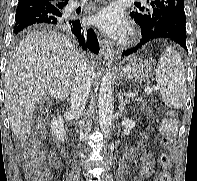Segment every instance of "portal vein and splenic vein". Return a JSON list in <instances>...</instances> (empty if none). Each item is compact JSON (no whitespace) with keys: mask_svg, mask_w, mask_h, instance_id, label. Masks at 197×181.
Here are the masks:
<instances>
[{"mask_svg":"<svg viewBox=\"0 0 197 181\" xmlns=\"http://www.w3.org/2000/svg\"><path fill=\"white\" fill-rule=\"evenodd\" d=\"M145 92L147 93V94H150L151 92H152V88L150 87V86H147L146 88H145ZM141 99H136V101H140Z\"/></svg>","mask_w":197,"mask_h":181,"instance_id":"18ae733b","label":"portal vein and splenic vein"}]
</instances>
